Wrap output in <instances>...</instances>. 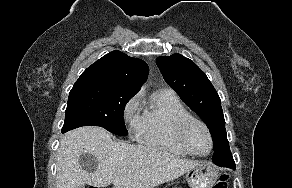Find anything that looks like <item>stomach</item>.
<instances>
[{
  "label": "stomach",
  "instance_id": "0dacf381",
  "mask_svg": "<svg viewBox=\"0 0 292 188\" xmlns=\"http://www.w3.org/2000/svg\"><path fill=\"white\" fill-rule=\"evenodd\" d=\"M218 179V170L210 162H200L186 172V181L190 188H213Z\"/></svg>",
  "mask_w": 292,
  "mask_h": 188
}]
</instances>
